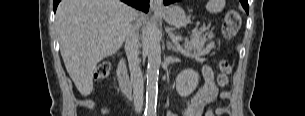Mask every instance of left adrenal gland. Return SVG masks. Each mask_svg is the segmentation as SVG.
<instances>
[{"label": "left adrenal gland", "instance_id": "a2214340", "mask_svg": "<svg viewBox=\"0 0 305 116\" xmlns=\"http://www.w3.org/2000/svg\"><path fill=\"white\" fill-rule=\"evenodd\" d=\"M167 49H168V50H173V51H175V52H179L178 47H175V46L171 43V41H168V42H167Z\"/></svg>", "mask_w": 305, "mask_h": 116}]
</instances>
